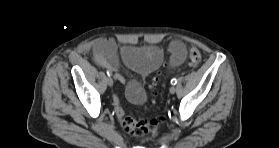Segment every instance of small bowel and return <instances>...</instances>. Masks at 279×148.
<instances>
[{"label": "small bowel", "mask_w": 279, "mask_h": 148, "mask_svg": "<svg viewBox=\"0 0 279 148\" xmlns=\"http://www.w3.org/2000/svg\"><path fill=\"white\" fill-rule=\"evenodd\" d=\"M170 59L168 66L176 68L180 66L186 59L185 45L179 40L171 41L169 45ZM120 59L124 64L142 77H147L155 71L163 62V52L156 46L146 48L123 47L118 50L115 42L111 39L98 40L94 45V60L110 72L114 73L116 80L126 83V96L128 100L134 104H142L146 99V92L137 80H127L120 73ZM115 105V113L120 119L125 115V111L121 106L119 97H113Z\"/></svg>", "instance_id": "1"}]
</instances>
